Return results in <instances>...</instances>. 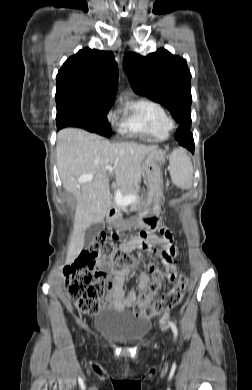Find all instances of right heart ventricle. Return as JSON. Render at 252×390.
I'll return each instance as SVG.
<instances>
[{"label":"right heart ventricle","instance_id":"right-heart-ventricle-1","mask_svg":"<svg viewBox=\"0 0 252 390\" xmlns=\"http://www.w3.org/2000/svg\"><path fill=\"white\" fill-rule=\"evenodd\" d=\"M123 117L119 131L139 136L149 141H160L168 137L170 127L165 109L149 99L131 101L122 108Z\"/></svg>","mask_w":252,"mask_h":390}]
</instances>
